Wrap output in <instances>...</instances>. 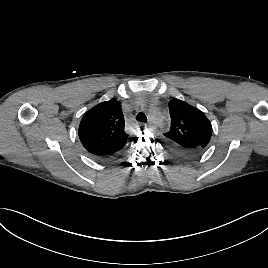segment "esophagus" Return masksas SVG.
Here are the masks:
<instances>
[{"label":"esophagus","instance_id":"esophagus-1","mask_svg":"<svg viewBox=\"0 0 268 268\" xmlns=\"http://www.w3.org/2000/svg\"><path fill=\"white\" fill-rule=\"evenodd\" d=\"M142 126L146 127L147 125L146 124H142Z\"/></svg>","mask_w":268,"mask_h":268}]
</instances>
